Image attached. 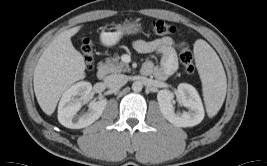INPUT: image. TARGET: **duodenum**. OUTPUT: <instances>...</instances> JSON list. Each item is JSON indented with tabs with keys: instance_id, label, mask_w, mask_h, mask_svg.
I'll list each match as a JSON object with an SVG mask.
<instances>
[{
	"instance_id": "410a0bca",
	"label": "duodenum",
	"mask_w": 267,
	"mask_h": 166,
	"mask_svg": "<svg viewBox=\"0 0 267 166\" xmlns=\"http://www.w3.org/2000/svg\"><path fill=\"white\" fill-rule=\"evenodd\" d=\"M106 75V69L104 67H100L96 72V77L98 80H103Z\"/></svg>"
}]
</instances>
